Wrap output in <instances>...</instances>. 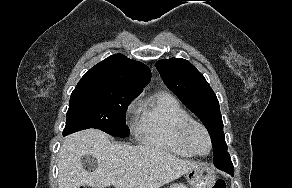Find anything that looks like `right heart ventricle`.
I'll list each match as a JSON object with an SVG mask.
<instances>
[{"label":"right heart ventricle","instance_id":"e07e8e85","mask_svg":"<svg viewBox=\"0 0 292 188\" xmlns=\"http://www.w3.org/2000/svg\"><path fill=\"white\" fill-rule=\"evenodd\" d=\"M191 119L172 94L159 92L142 104L135 132L138 140L145 145L189 158L194 154L183 144L180 132L182 126Z\"/></svg>","mask_w":292,"mask_h":188}]
</instances>
